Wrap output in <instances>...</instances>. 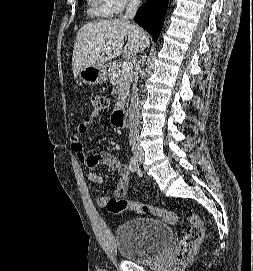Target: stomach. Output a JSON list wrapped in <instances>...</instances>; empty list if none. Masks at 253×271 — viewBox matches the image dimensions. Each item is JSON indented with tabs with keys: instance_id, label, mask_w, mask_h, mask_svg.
I'll use <instances>...</instances> for the list:
<instances>
[{
	"instance_id": "obj_1",
	"label": "stomach",
	"mask_w": 253,
	"mask_h": 271,
	"mask_svg": "<svg viewBox=\"0 0 253 271\" xmlns=\"http://www.w3.org/2000/svg\"><path fill=\"white\" fill-rule=\"evenodd\" d=\"M80 80L89 85L104 83L108 79V72L104 64L88 66L79 73Z\"/></svg>"
}]
</instances>
